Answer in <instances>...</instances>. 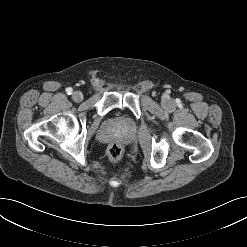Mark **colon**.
Instances as JSON below:
<instances>
[{"mask_svg":"<svg viewBox=\"0 0 247 247\" xmlns=\"http://www.w3.org/2000/svg\"><path fill=\"white\" fill-rule=\"evenodd\" d=\"M108 156L111 161L119 162L123 157V148L119 144H112L108 148Z\"/></svg>","mask_w":247,"mask_h":247,"instance_id":"colon-1","label":"colon"}]
</instances>
